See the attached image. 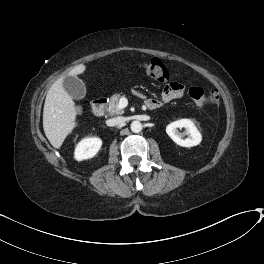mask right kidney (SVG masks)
I'll return each instance as SVG.
<instances>
[{
  "label": "right kidney",
  "instance_id": "obj_1",
  "mask_svg": "<svg viewBox=\"0 0 264 264\" xmlns=\"http://www.w3.org/2000/svg\"><path fill=\"white\" fill-rule=\"evenodd\" d=\"M101 145L102 141L100 138H85L76 145L74 157L78 161L92 158L100 150Z\"/></svg>",
  "mask_w": 264,
  "mask_h": 264
}]
</instances>
